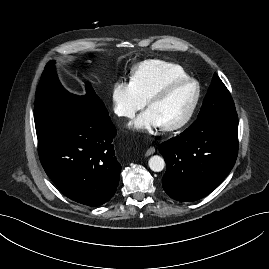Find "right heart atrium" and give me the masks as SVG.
I'll return each mask as SVG.
<instances>
[{
	"instance_id": "1",
	"label": "right heart atrium",
	"mask_w": 269,
	"mask_h": 269,
	"mask_svg": "<svg viewBox=\"0 0 269 269\" xmlns=\"http://www.w3.org/2000/svg\"><path fill=\"white\" fill-rule=\"evenodd\" d=\"M114 113L120 118L131 119L141 110L145 101L139 96L131 82L117 80L111 89Z\"/></svg>"
}]
</instances>
